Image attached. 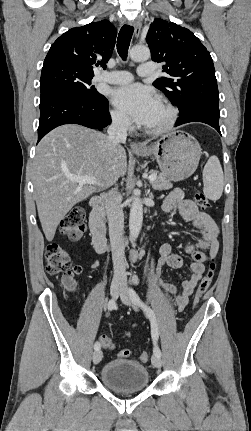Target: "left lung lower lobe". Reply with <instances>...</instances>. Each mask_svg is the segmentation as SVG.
<instances>
[{
	"label": "left lung lower lobe",
	"mask_w": 251,
	"mask_h": 431,
	"mask_svg": "<svg viewBox=\"0 0 251 431\" xmlns=\"http://www.w3.org/2000/svg\"><path fill=\"white\" fill-rule=\"evenodd\" d=\"M219 116L220 111L217 103L200 102L180 114L175 126L189 122H202L214 127L221 134L218 124Z\"/></svg>",
	"instance_id": "left-lung-lower-lobe-1"
}]
</instances>
